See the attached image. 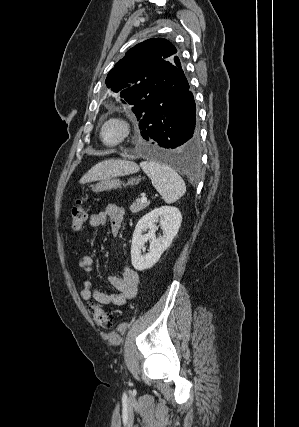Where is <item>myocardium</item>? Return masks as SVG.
<instances>
[{"label": "myocardium", "mask_w": 299, "mask_h": 427, "mask_svg": "<svg viewBox=\"0 0 299 427\" xmlns=\"http://www.w3.org/2000/svg\"><path fill=\"white\" fill-rule=\"evenodd\" d=\"M111 122H116L117 124H119L121 128V132L117 140L113 142H107L104 139L103 131L105 126ZM131 134H132L131 122L125 116L120 114H114V115L108 116L100 123V126H99V139L104 145L109 147H115L123 144L126 140H128Z\"/></svg>", "instance_id": "f54148a6"}]
</instances>
